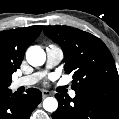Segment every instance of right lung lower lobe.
<instances>
[{"label": "right lung lower lobe", "instance_id": "1", "mask_svg": "<svg viewBox=\"0 0 119 119\" xmlns=\"http://www.w3.org/2000/svg\"><path fill=\"white\" fill-rule=\"evenodd\" d=\"M42 100L41 91L29 88L26 94L16 96L6 88L0 89V119H29Z\"/></svg>", "mask_w": 119, "mask_h": 119}]
</instances>
